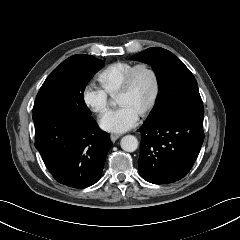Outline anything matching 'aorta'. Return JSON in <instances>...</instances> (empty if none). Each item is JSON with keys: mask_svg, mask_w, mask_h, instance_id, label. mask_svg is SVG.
Masks as SVG:
<instances>
[{"mask_svg": "<svg viewBox=\"0 0 240 240\" xmlns=\"http://www.w3.org/2000/svg\"><path fill=\"white\" fill-rule=\"evenodd\" d=\"M121 148L126 152H134L138 148V140L133 135H126L121 139Z\"/></svg>", "mask_w": 240, "mask_h": 240, "instance_id": "762f6f07", "label": "aorta"}]
</instances>
